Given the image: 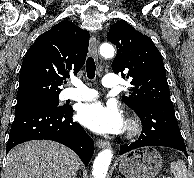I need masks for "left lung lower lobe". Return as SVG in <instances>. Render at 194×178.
<instances>
[{"label": "left lung lower lobe", "mask_w": 194, "mask_h": 178, "mask_svg": "<svg viewBox=\"0 0 194 178\" xmlns=\"http://www.w3.org/2000/svg\"><path fill=\"white\" fill-rule=\"evenodd\" d=\"M136 114L142 122L143 133L135 142L121 145L119 154L145 146H167L188 156L171 101L140 104Z\"/></svg>", "instance_id": "obj_1"}]
</instances>
